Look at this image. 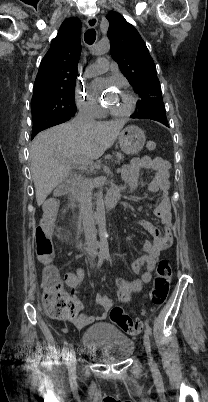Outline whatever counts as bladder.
<instances>
[{"label": "bladder", "instance_id": "1", "mask_svg": "<svg viewBox=\"0 0 208 402\" xmlns=\"http://www.w3.org/2000/svg\"><path fill=\"white\" fill-rule=\"evenodd\" d=\"M83 346L98 359L117 362L131 355L134 341L114 325L95 324L84 330Z\"/></svg>", "mask_w": 208, "mask_h": 402}]
</instances>
